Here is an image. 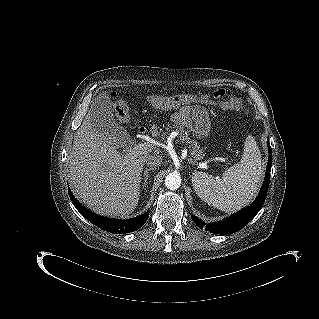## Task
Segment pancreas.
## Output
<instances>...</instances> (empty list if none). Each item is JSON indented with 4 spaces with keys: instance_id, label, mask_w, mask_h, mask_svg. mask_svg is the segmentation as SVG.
Wrapping results in <instances>:
<instances>
[{
    "instance_id": "pancreas-1",
    "label": "pancreas",
    "mask_w": 319,
    "mask_h": 319,
    "mask_svg": "<svg viewBox=\"0 0 319 319\" xmlns=\"http://www.w3.org/2000/svg\"><path fill=\"white\" fill-rule=\"evenodd\" d=\"M174 128H177L176 130L180 134V136H179L180 140L189 145V149L191 151V154L196 156L197 158H201L204 155V150L200 148L198 143L195 140H192L189 137V134L185 130L178 128V127H175V126H174ZM151 133L155 137L161 135V133L158 131L157 126H154L152 128Z\"/></svg>"
}]
</instances>
